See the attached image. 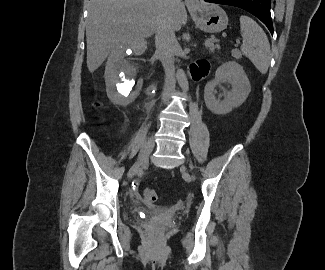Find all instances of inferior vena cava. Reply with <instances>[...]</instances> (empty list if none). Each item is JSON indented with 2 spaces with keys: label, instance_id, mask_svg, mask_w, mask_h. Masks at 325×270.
<instances>
[{
  "label": "inferior vena cava",
  "instance_id": "602c4592",
  "mask_svg": "<svg viewBox=\"0 0 325 270\" xmlns=\"http://www.w3.org/2000/svg\"><path fill=\"white\" fill-rule=\"evenodd\" d=\"M178 0H161L162 11L156 26L155 43L165 70L163 102H168L175 91L174 50L178 46L172 20V8Z\"/></svg>",
  "mask_w": 325,
  "mask_h": 270
}]
</instances>
